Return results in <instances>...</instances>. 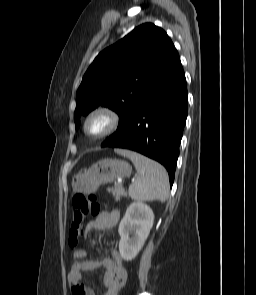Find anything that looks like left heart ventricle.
Wrapping results in <instances>:
<instances>
[{
    "label": "left heart ventricle",
    "mask_w": 256,
    "mask_h": 295,
    "mask_svg": "<svg viewBox=\"0 0 256 295\" xmlns=\"http://www.w3.org/2000/svg\"><path fill=\"white\" fill-rule=\"evenodd\" d=\"M103 125H104V123L101 119H99V118L94 119L93 121L90 122V124L88 126V131L91 134H95L103 128Z\"/></svg>",
    "instance_id": "obj_1"
}]
</instances>
